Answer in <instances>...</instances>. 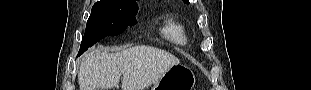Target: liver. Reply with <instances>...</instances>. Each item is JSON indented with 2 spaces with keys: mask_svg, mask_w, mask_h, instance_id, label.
I'll list each match as a JSON object with an SVG mask.
<instances>
[{
  "mask_svg": "<svg viewBox=\"0 0 311 90\" xmlns=\"http://www.w3.org/2000/svg\"><path fill=\"white\" fill-rule=\"evenodd\" d=\"M179 62L167 51L144 45L118 53H104L95 49L85 53L81 60L79 88L110 90L118 87L123 75L122 90H145Z\"/></svg>",
  "mask_w": 311,
  "mask_h": 90,
  "instance_id": "1",
  "label": "liver"
}]
</instances>
